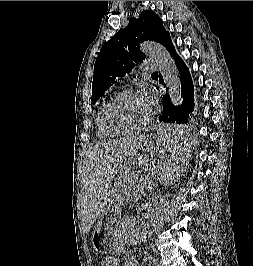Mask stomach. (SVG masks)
Wrapping results in <instances>:
<instances>
[{"mask_svg":"<svg viewBox=\"0 0 253 266\" xmlns=\"http://www.w3.org/2000/svg\"><path fill=\"white\" fill-rule=\"evenodd\" d=\"M165 126L159 127L153 143L141 140L131 153L125 156L111 175L108 189V199L104 210L92 235L94 250L100 254H108L118 243V228L121 222V187L123 178L134 168L148 162L155 154L161 156L164 150V139L175 138L172 132H166ZM179 138H186L184 135Z\"/></svg>","mask_w":253,"mask_h":266,"instance_id":"0dacf381","label":"stomach"}]
</instances>
